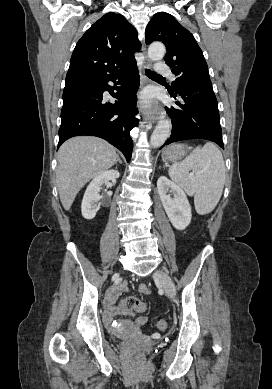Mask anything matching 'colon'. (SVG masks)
<instances>
[{
	"label": "colon",
	"instance_id": "obj_1",
	"mask_svg": "<svg viewBox=\"0 0 272 389\" xmlns=\"http://www.w3.org/2000/svg\"><path fill=\"white\" fill-rule=\"evenodd\" d=\"M145 308H146L145 304L141 300L133 296H128L123 298L120 301V305H119L120 311L127 314L142 313L145 311ZM167 327H168V323L166 320L161 319L157 322V328L159 330L164 331L167 329ZM134 358L138 363H142L144 361V357L142 354H136Z\"/></svg>",
	"mask_w": 272,
	"mask_h": 389
}]
</instances>
